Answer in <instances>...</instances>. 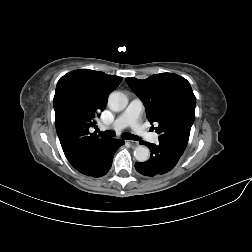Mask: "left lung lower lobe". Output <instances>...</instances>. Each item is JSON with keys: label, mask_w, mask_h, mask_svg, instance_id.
Returning a JSON list of instances; mask_svg holds the SVG:
<instances>
[{"label": "left lung lower lobe", "mask_w": 252, "mask_h": 252, "mask_svg": "<svg viewBox=\"0 0 252 252\" xmlns=\"http://www.w3.org/2000/svg\"><path fill=\"white\" fill-rule=\"evenodd\" d=\"M141 143L148 146L151 155L146 162H136L135 168L140 174L148 177L163 175L172 170L185 150L184 147L169 140H159L158 144L145 141Z\"/></svg>", "instance_id": "1"}]
</instances>
